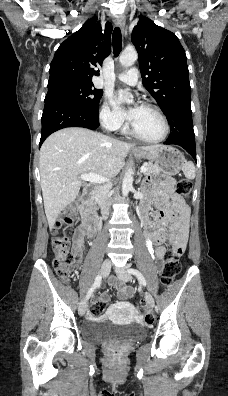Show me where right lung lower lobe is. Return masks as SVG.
I'll list each match as a JSON object with an SVG mask.
<instances>
[{
  "instance_id": "1",
  "label": "right lung lower lobe",
  "mask_w": 228,
  "mask_h": 396,
  "mask_svg": "<svg viewBox=\"0 0 228 396\" xmlns=\"http://www.w3.org/2000/svg\"><path fill=\"white\" fill-rule=\"evenodd\" d=\"M99 126L98 112L88 111L63 98L45 99L42 114L40 146L53 132L66 127L96 129Z\"/></svg>"
}]
</instances>
